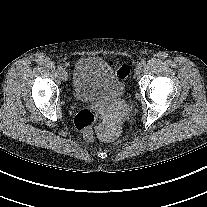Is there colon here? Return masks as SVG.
<instances>
[{
  "instance_id": "obj_1",
  "label": "colon",
  "mask_w": 207,
  "mask_h": 207,
  "mask_svg": "<svg viewBox=\"0 0 207 207\" xmlns=\"http://www.w3.org/2000/svg\"><path fill=\"white\" fill-rule=\"evenodd\" d=\"M116 73L122 78L126 79L130 74V68L125 64L116 65ZM96 122L94 113L88 109L80 110L74 119V124L78 130L83 133L87 141H92L94 138L93 126Z\"/></svg>"
}]
</instances>
